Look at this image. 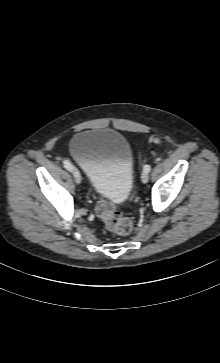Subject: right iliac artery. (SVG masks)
<instances>
[{
    "label": "right iliac artery",
    "instance_id": "82829eb1",
    "mask_svg": "<svg viewBox=\"0 0 220 363\" xmlns=\"http://www.w3.org/2000/svg\"><path fill=\"white\" fill-rule=\"evenodd\" d=\"M63 164H64V167L68 170V171H72L73 169V166L71 164V162L69 160H64L63 161Z\"/></svg>",
    "mask_w": 220,
    "mask_h": 363
}]
</instances>
